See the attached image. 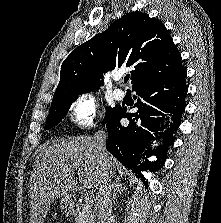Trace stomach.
<instances>
[{
  "instance_id": "obj_1",
  "label": "stomach",
  "mask_w": 221,
  "mask_h": 223,
  "mask_svg": "<svg viewBox=\"0 0 221 223\" xmlns=\"http://www.w3.org/2000/svg\"><path fill=\"white\" fill-rule=\"evenodd\" d=\"M61 209L66 214L72 213V199L69 195L62 197L60 202Z\"/></svg>"
}]
</instances>
